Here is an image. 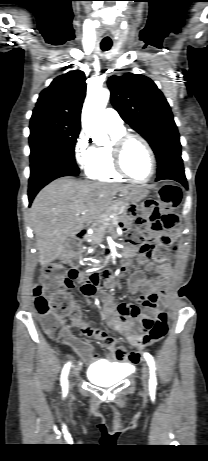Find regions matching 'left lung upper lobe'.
Masks as SVG:
<instances>
[{
	"instance_id": "1",
	"label": "left lung upper lobe",
	"mask_w": 208,
	"mask_h": 461,
	"mask_svg": "<svg viewBox=\"0 0 208 461\" xmlns=\"http://www.w3.org/2000/svg\"><path fill=\"white\" fill-rule=\"evenodd\" d=\"M111 102L122 119L143 136L158 162V174L182 161L181 144L170 106L148 77L127 73L108 79Z\"/></svg>"
}]
</instances>
